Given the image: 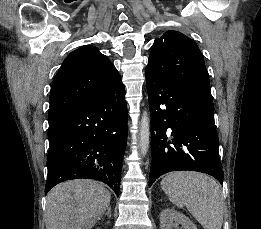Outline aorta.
Returning <instances> with one entry per match:
<instances>
[{"instance_id":"obj_1","label":"aorta","mask_w":261,"mask_h":229,"mask_svg":"<svg viewBox=\"0 0 261 229\" xmlns=\"http://www.w3.org/2000/svg\"><path fill=\"white\" fill-rule=\"evenodd\" d=\"M150 145V117L147 110H143L141 123H140V133H139V151L141 157H145L148 153Z\"/></svg>"}]
</instances>
